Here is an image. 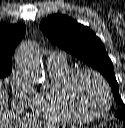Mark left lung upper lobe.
I'll return each instance as SVG.
<instances>
[{
  "label": "left lung upper lobe",
  "instance_id": "5c2ea615",
  "mask_svg": "<svg viewBox=\"0 0 125 128\" xmlns=\"http://www.w3.org/2000/svg\"><path fill=\"white\" fill-rule=\"evenodd\" d=\"M42 32L57 46L97 69L106 77L113 89V95L122 106L115 116L125 120V105L118 91L113 64L106 53L102 41L90 30L72 18L55 14L40 23Z\"/></svg>",
  "mask_w": 125,
  "mask_h": 128
}]
</instances>
